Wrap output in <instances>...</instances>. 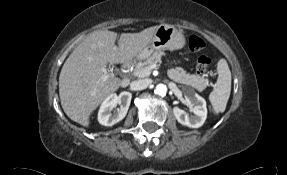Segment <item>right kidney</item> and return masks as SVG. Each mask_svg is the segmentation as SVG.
Wrapping results in <instances>:
<instances>
[{"label": "right kidney", "instance_id": "obj_1", "mask_svg": "<svg viewBox=\"0 0 287 175\" xmlns=\"http://www.w3.org/2000/svg\"><path fill=\"white\" fill-rule=\"evenodd\" d=\"M132 94L130 92H122L119 95L110 94L101 104L98 112V121L104 126H112L121 121L127 114L131 103ZM114 112L113 110L116 106Z\"/></svg>", "mask_w": 287, "mask_h": 175}]
</instances>
